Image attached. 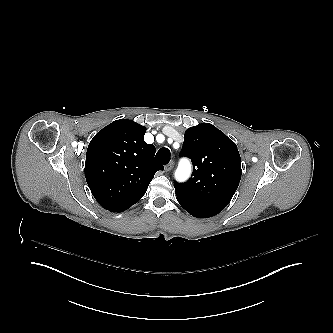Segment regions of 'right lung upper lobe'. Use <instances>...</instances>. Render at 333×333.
Wrapping results in <instances>:
<instances>
[{
  "label": "right lung upper lobe",
  "mask_w": 333,
  "mask_h": 333,
  "mask_svg": "<svg viewBox=\"0 0 333 333\" xmlns=\"http://www.w3.org/2000/svg\"><path fill=\"white\" fill-rule=\"evenodd\" d=\"M146 128L120 119L99 131L86 154L85 177L97 202L107 210L130 195L145 192L154 174L164 167L155 147L144 141Z\"/></svg>",
  "instance_id": "cb5924a9"
}]
</instances>
